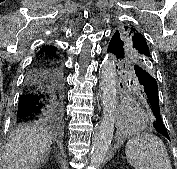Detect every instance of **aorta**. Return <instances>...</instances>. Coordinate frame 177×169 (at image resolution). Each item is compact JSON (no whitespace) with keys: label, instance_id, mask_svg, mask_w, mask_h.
<instances>
[{"label":"aorta","instance_id":"obj_1","mask_svg":"<svg viewBox=\"0 0 177 169\" xmlns=\"http://www.w3.org/2000/svg\"><path fill=\"white\" fill-rule=\"evenodd\" d=\"M113 56H106L101 63V90L103 116L94 133L88 169H99L103 163L114 134L116 119L117 89L116 66Z\"/></svg>","mask_w":177,"mask_h":169}]
</instances>
